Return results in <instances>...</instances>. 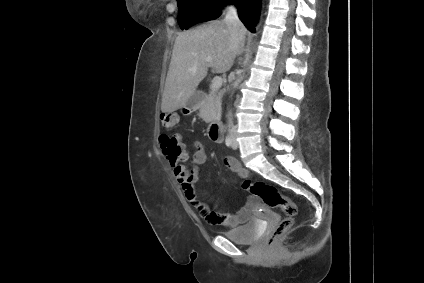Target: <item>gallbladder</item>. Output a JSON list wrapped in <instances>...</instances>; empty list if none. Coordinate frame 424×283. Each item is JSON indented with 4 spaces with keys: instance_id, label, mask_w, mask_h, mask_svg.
I'll use <instances>...</instances> for the list:
<instances>
[{
    "instance_id": "bac80fb5",
    "label": "gallbladder",
    "mask_w": 424,
    "mask_h": 283,
    "mask_svg": "<svg viewBox=\"0 0 424 283\" xmlns=\"http://www.w3.org/2000/svg\"><path fill=\"white\" fill-rule=\"evenodd\" d=\"M199 95L198 93H194L187 101V105L190 107H195L197 103L199 102Z\"/></svg>"
}]
</instances>
